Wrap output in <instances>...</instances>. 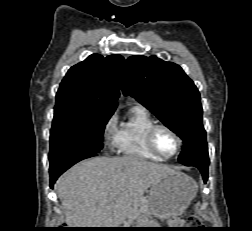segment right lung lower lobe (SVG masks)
Returning a JSON list of instances; mask_svg holds the SVG:
<instances>
[{"instance_id":"right-lung-lower-lobe-1","label":"right lung lower lobe","mask_w":252,"mask_h":231,"mask_svg":"<svg viewBox=\"0 0 252 231\" xmlns=\"http://www.w3.org/2000/svg\"><path fill=\"white\" fill-rule=\"evenodd\" d=\"M97 153H82V154H75V155H71V156H67L64 157L62 159H59L57 161L51 162L50 163V168H49V172H50V187H53L55 181L57 180V178L64 172L66 171L68 168H70L72 165H74L75 163L89 158V157H93L96 156Z\"/></svg>"}]
</instances>
